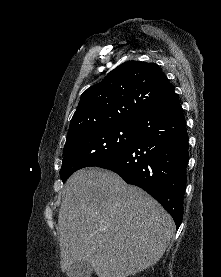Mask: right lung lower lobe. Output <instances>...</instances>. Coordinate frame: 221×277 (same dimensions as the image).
I'll return each mask as SVG.
<instances>
[{
    "mask_svg": "<svg viewBox=\"0 0 221 277\" xmlns=\"http://www.w3.org/2000/svg\"><path fill=\"white\" fill-rule=\"evenodd\" d=\"M188 158L185 117L174 93L135 121L133 140L124 153L97 167L112 170L126 183L148 192L171 214L179 228Z\"/></svg>",
    "mask_w": 221,
    "mask_h": 277,
    "instance_id": "obj_1",
    "label": "right lung lower lobe"
}]
</instances>
